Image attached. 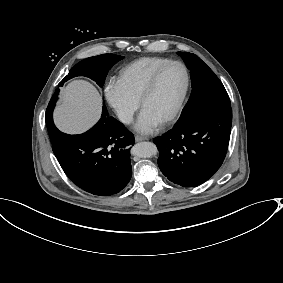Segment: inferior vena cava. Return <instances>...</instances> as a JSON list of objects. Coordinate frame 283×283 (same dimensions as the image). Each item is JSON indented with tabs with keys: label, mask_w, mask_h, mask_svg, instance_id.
I'll return each mask as SVG.
<instances>
[{
	"label": "inferior vena cava",
	"mask_w": 283,
	"mask_h": 283,
	"mask_svg": "<svg viewBox=\"0 0 283 283\" xmlns=\"http://www.w3.org/2000/svg\"><path fill=\"white\" fill-rule=\"evenodd\" d=\"M133 110L128 107H121L117 110V116L121 122L130 124L133 121Z\"/></svg>",
	"instance_id": "inferior-vena-cava-1"
}]
</instances>
